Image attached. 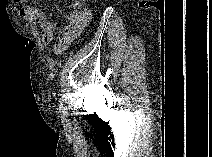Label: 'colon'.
I'll return each instance as SVG.
<instances>
[{
    "label": "colon",
    "mask_w": 212,
    "mask_h": 157,
    "mask_svg": "<svg viewBox=\"0 0 212 157\" xmlns=\"http://www.w3.org/2000/svg\"><path fill=\"white\" fill-rule=\"evenodd\" d=\"M68 4L70 7L76 9V10H81L83 7V2L81 0H69Z\"/></svg>",
    "instance_id": "5ec220e1"
}]
</instances>
